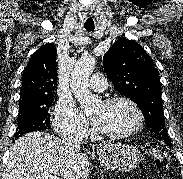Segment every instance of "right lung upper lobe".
Here are the masks:
<instances>
[{
	"label": "right lung upper lobe",
	"instance_id": "obj_1",
	"mask_svg": "<svg viewBox=\"0 0 183 179\" xmlns=\"http://www.w3.org/2000/svg\"><path fill=\"white\" fill-rule=\"evenodd\" d=\"M56 48L47 43L30 58L24 69L20 101L53 96L57 84Z\"/></svg>",
	"mask_w": 183,
	"mask_h": 179
}]
</instances>
